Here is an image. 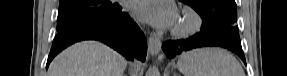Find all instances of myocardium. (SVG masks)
Wrapping results in <instances>:
<instances>
[{
    "instance_id": "f54148a6",
    "label": "myocardium",
    "mask_w": 287,
    "mask_h": 76,
    "mask_svg": "<svg viewBox=\"0 0 287 76\" xmlns=\"http://www.w3.org/2000/svg\"><path fill=\"white\" fill-rule=\"evenodd\" d=\"M202 24V17L197 11L185 8L181 12L179 22L172 29V35L178 38L189 37L198 32Z\"/></svg>"
}]
</instances>
